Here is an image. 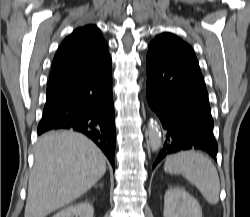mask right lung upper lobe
<instances>
[{
    "mask_svg": "<svg viewBox=\"0 0 250 217\" xmlns=\"http://www.w3.org/2000/svg\"><path fill=\"white\" fill-rule=\"evenodd\" d=\"M111 60L108 45L95 25L76 29L55 54L47 91L91 75Z\"/></svg>",
    "mask_w": 250,
    "mask_h": 217,
    "instance_id": "1",
    "label": "right lung upper lobe"
}]
</instances>
